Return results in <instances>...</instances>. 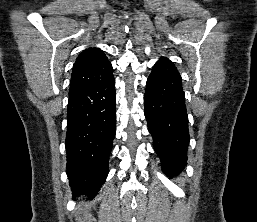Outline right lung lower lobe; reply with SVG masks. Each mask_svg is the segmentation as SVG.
Instances as JSON below:
<instances>
[{
  "label": "right lung lower lobe",
  "mask_w": 257,
  "mask_h": 222,
  "mask_svg": "<svg viewBox=\"0 0 257 222\" xmlns=\"http://www.w3.org/2000/svg\"><path fill=\"white\" fill-rule=\"evenodd\" d=\"M67 175L76 195L93 197L108 174L116 133L115 79L112 72L97 84L69 95Z\"/></svg>",
  "instance_id": "98d812e1"
}]
</instances>
